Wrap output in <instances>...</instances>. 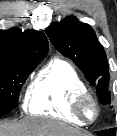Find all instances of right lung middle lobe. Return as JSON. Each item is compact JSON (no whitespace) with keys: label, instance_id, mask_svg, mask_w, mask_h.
Masks as SVG:
<instances>
[{"label":"right lung middle lobe","instance_id":"dd1d6c3e","mask_svg":"<svg viewBox=\"0 0 117 136\" xmlns=\"http://www.w3.org/2000/svg\"><path fill=\"white\" fill-rule=\"evenodd\" d=\"M40 60H0V110L15 108L22 85Z\"/></svg>","mask_w":117,"mask_h":136}]
</instances>
